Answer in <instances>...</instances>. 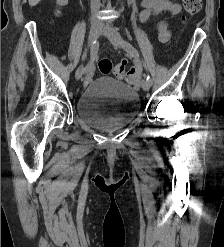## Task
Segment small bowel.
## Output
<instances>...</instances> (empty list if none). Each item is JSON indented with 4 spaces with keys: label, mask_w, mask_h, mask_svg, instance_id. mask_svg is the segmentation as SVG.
<instances>
[{
    "label": "small bowel",
    "mask_w": 224,
    "mask_h": 247,
    "mask_svg": "<svg viewBox=\"0 0 224 247\" xmlns=\"http://www.w3.org/2000/svg\"><path fill=\"white\" fill-rule=\"evenodd\" d=\"M141 8L140 21L142 23L164 12L177 15L181 11V6L176 0H142ZM158 37L161 42H167L170 38L168 25L164 21L158 24ZM120 64L125 67V63ZM130 70L137 74V69L132 68Z\"/></svg>",
    "instance_id": "c3829d8e"
}]
</instances>
